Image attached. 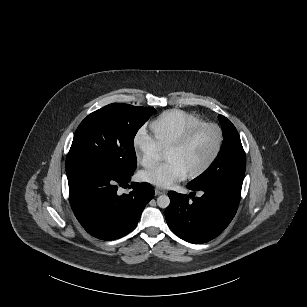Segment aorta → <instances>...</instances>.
Segmentation results:
<instances>
[{"instance_id":"aorta-1","label":"aorta","mask_w":307,"mask_h":307,"mask_svg":"<svg viewBox=\"0 0 307 307\" xmlns=\"http://www.w3.org/2000/svg\"><path fill=\"white\" fill-rule=\"evenodd\" d=\"M158 206L161 208H166L170 204V198L167 195H160L157 198Z\"/></svg>"}]
</instances>
